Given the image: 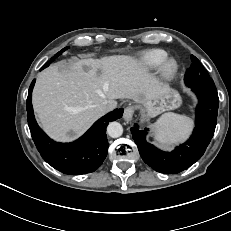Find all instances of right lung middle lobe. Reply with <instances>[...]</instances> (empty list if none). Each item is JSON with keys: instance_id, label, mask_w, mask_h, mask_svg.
<instances>
[{"instance_id": "1", "label": "right lung middle lobe", "mask_w": 231, "mask_h": 231, "mask_svg": "<svg viewBox=\"0 0 231 231\" xmlns=\"http://www.w3.org/2000/svg\"><path fill=\"white\" fill-rule=\"evenodd\" d=\"M69 47H66L64 49H62L61 51H59L54 57H52L43 67L42 69L46 68L47 66H49L50 63H52L59 55L62 54L63 51H65L66 49H68Z\"/></svg>"}]
</instances>
